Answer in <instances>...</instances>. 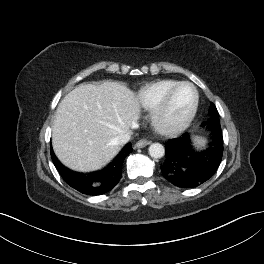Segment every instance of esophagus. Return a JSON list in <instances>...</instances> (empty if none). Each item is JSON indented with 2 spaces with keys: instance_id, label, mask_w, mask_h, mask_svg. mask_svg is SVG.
I'll return each mask as SVG.
<instances>
[{
  "instance_id": "obj_1",
  "label": "esophagus",
  "mask_w": 264,
  "mask_h": 264,
  "mask_svg": "<svg viewBox=\"0 0 264 264\" xmlns=\"http://www.w3.org/2000/svg\"><path fill=\"white\" fill-rule=\"evenodd\" d=\"M151 143V141L149 140H146V139H141L139 141H137L134 145V148L137 149V148H143L147 145H149Z\"/></svg>"
}]
</instances>
